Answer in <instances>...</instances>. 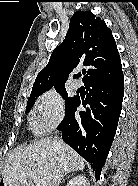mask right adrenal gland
I'll return each mask as SVG.
<instances>
[{"label":"right adrenal gland","mask_w":138,"mask_h":186,"mask_svg":"<svg viewBox=\"0 0 138 186\" xmlns=\"http://www.w3.org/2000/svg\"><path fill=\"white\" fill-rule=\"evenodd\" d=\"M68 177H69V175H66V178H68ZM63 181H65V178H63L62 181L59 182V184L62 183ZM59 184H58V186H59Z\"/></svg>","instance_id":"right-adrenal-gland-1"}]
</instances>
